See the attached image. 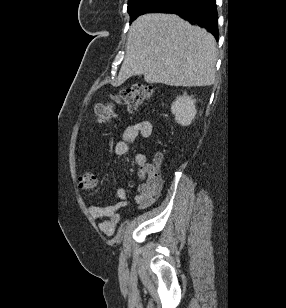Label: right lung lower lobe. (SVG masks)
<instances>
[{
	"instance_id": "obj_1",
	"label": "right lung lower lobe",
	"mask_w": 286,
	"mask_h": 308,
	"mask_svg": "<svg viewBox=\"0 0 286 308\" xmlns=\"http://www.w3.org/2000/svg\"><path fill=\"white\" fill-rule=\"evenodd\" d=\"M152 12L177 14L191 23L208 29L218 40L216 0H169Z\"/></svg>"
}]
</instances>
